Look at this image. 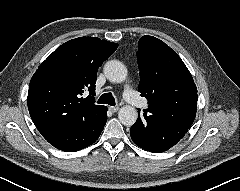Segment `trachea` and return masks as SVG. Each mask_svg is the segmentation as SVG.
<instances>
[{
  "mask_svg": "<svg viewBox=\"0 0 240 191\" xmlns=\"http://www.w3.org/2000/svg\"><path fill=\"white\" fill-rule=\"evenodd\" d=\"M98 103L100 104H108L111 106H115L116 102H115V98L113 97V95L111 93H104L100 96V98L98 99Z\"/></svg>",
  "mask_w": 240,
  "mask_h": 191,
  "instance_id": "obj_1",
  "label": "trachea"
}]
</instances>
